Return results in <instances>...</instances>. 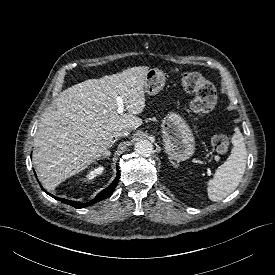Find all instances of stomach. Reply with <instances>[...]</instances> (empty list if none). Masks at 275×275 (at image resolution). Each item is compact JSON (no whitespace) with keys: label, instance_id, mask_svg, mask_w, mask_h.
<instances>
[{"label":"stomach","instance_id":"1","mask_svg":"<svg viewBox=\"0 0 275 275\" xmlns=\"http://www.w3.org/2000/svg\"><path fill=\"white\" fill-rule=\"evenodd\" d=\"M165 81V75L160 69H149L146 73L144 89L149 95H155L163 89ZM161 133L170 159L179 163L193 156L195 152L193 133L178 113L169 112L163 118Z\"/></svg>","mask_w":275,"mask_h":275}]
</instances>
